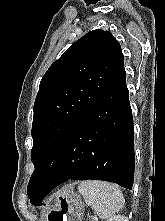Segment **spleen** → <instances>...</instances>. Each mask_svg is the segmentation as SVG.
I'll return each instance as SVG.
<instances>
[{
    "instance_id": "3e777b00",
    "label": "spleen",
    "mask_w": 165,
    "mask_h": 221,
    "mask_svg": "<svg viewBox=\"0 0 165 221\" xmlns=\"http://www.w3.org/2000/svg\"><path fill=\"white\" fill-rule=\"evenodd\" d=\"M78 191L102 219L111 218L124 207L123 193L115 184L87 180L79 184Z\"/></svg>"
}]
</instances>
